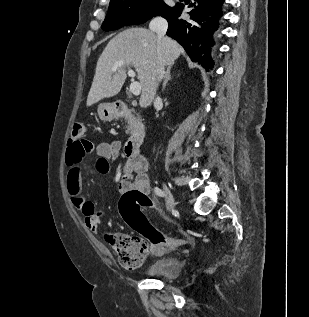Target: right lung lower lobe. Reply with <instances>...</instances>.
<instances>
[{"mask_svg": "<svg viewBox=\"0 0 309 317\" xmlns=\"http://www.w3.org/2000/svg\"><path fill=\"white\" fill-rule=\"evenodd\" d=\"M224 0H193L189 18L178 19L184 6L177 4L161 14L168 23L167 35L181 44L192 61L208 71L214 66L210 56L213 33L218 29ZM202 43V44H201ZM201 44V45H200Z\"/></svg>", "mask_w": 309, "mask_h": 317, "instance_id": "obj_1", "label": "right lung lower lobe"}]
</instances>
